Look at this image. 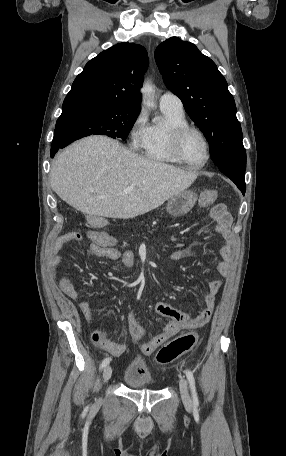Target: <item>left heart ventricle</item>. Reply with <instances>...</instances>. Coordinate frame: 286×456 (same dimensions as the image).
<instances>
[{
    "instance_id": "obj_1",
    "label": "left heart ventricle",
    "mask_w": 286,
    "mask_h": 456,
    "mask_svg": "<svg viewBox=\"0 0 286 456\" xmlns=\"http://www.w3.org/2000/svg\"><path fill=\"white\" fill-rule=\"evenodd\" d=\"M182 156L191 163H201L206 157V146L202 137L196 132L186 133L180 143Z\"/></svg>"
}]
</instances>
